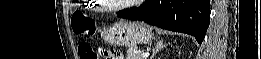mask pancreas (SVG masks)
Instances as JSON below:
<instances>
[{"label":"pancreas","mask_w":261,"mask_h":59,"mask_svg":"<svg viewBox=\"0 0 261 59\" xmlns=\"http://www.w3.org/2000/svg\"><path fill=\"white\" fill-rule=\"evenodd\" d=\"M126 59H146L141 56V52L137 51L136 48L130 47L126 54Z\"/></svg>","instance_id":"1"}]
</instances>
